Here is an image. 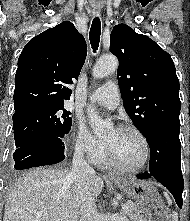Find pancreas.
Instances as JSON below:
<instances>
[{"label":"pancreas","instance_id":"1","mask_svg":"<svg viewBox=\"0 0 190 221\" xmlns=\"http://www.w3.org/2000/svg\"><path fill=\"white\" fill-rule=\"evenodd\" d=\"M127 205L129 206V209L124 210L123 214L128 216L131 221H146L134 203H127Z\"/></svg>","mask_w":190,"mask_h":221}]
</instances>
